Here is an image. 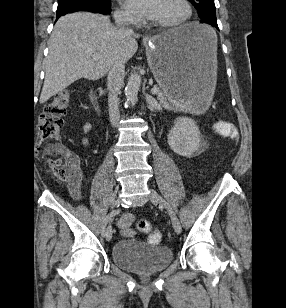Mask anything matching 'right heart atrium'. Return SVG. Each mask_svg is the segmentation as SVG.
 Here are the masks:
<instances>
[{
    "instance_id": "obj_1",
    "label": "right heart atrium",
    "mask_w": 286,
    "mask_h": 308,
    "mask_svg": "<svg viewBox=\"0 0 286 308\" xmlns=\"http://www.w3.org/2000/svg\"><path fill=\"white\" fill-rule=\"evenodd\" d=\"M117 22L128 25H137L140 20L125 9H118L115 12Z\"/></svg>"
}]
</instances>
